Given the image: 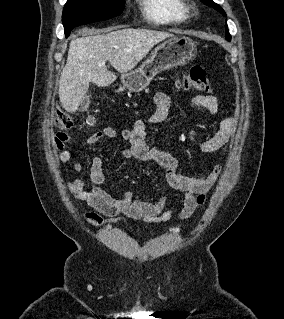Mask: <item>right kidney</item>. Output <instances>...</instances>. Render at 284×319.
<instances>
[{"mask_svg":"<svg viewBox=\"0 0 284 319\" xmlns=\"http://www.w3.org/2000/svg\"><path fill=\"white\" fill-rule=\"evenodd\" d=\"M90 122H92V120H90ZM87 123L90 124L88 121H87Z\"/></svg>","mask_w":284,"mask_h":319,"instance_id":"obj_1","label":"right kidney"}]
</instances>
